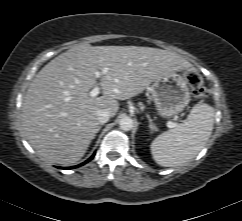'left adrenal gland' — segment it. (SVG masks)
<instances>
[{
	"label": "left adrenal gland",
	"mask_w": 242,
	"mask_h": 221,
	"mask_svg": "<svg viewBox=\"0 0 242 221\" xmlns=\"http://www.w3.org/2000/svg\"><path fill=\"white\" fill-rule=\"evenodd\" d=\"M146 117H147V119H148V121H149V128H150V130H151V131H156L157 128H156V126L154 125V123L152 122V119L150 118V116L147 114Z\"/></svg>",
	"instance_id": "left-adrenal-gland-1"
}]
</instances>
